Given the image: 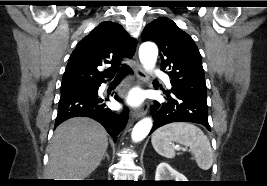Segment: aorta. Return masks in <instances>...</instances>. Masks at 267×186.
Instances as JSON below:
<instances>
[{"label": "aorta", "instance_id": "762f6f07", "mask_svg": "<svg viewBox=\"0 0 267 186\" xmlns=\"http://www.w3.org/2000/svg\"><path fill=\"white\" fill-rule=\"evenodd\" d=\"M158 49L154 43L145 42L139 48V58L146 70H151L156 63ZM152 119L144 118L139 121L133 128L132 140L135 142L143 140L152 128Z\"/></svg>", "mask_w": 267, "mask_h": 186}]
</instances>
